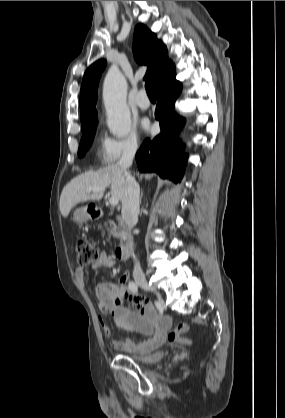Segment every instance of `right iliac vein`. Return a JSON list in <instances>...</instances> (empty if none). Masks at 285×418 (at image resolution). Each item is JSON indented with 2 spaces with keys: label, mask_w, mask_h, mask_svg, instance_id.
I'll return each instance as SVG.
<instances>
[{
  "label": "right iliac vein",
  "mask_w": 285,
  "mask_h": 418,
  "mask_svg": "<svg viewBox=\"0 0 285 418\" xmlns=\"http://www.w3.org/2000/svg\"><path fill=\"white\" fill-rule=\"evenodd\" d=\"M135 280L137 282L138 285H140L143 289L147 290V291H152L154 292L159 298H160V293L157 291V289L155 287H153L152 285H150L145 276L144 275H138L135 277Z\"/></svg>",
  "instance_id": "obj_1"
}]
</instances>
